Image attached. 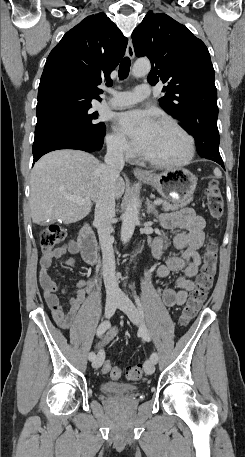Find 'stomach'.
Here are the masks:
<instances>
[{
    "label": "stomach",
    "instance_id": "obj_1",
    "mask_svg": "<svg viewBox=\"0 0 245 457\" xmlns=\"http://www.w3.org/2000/svg\"><path fill=\"white\" fill-rule=\"evenodd\" d=\"M152 180L140 178L145 184H152L159 194L170 200V202H181L192 198L196 188L197 180L195 174H192L188 168H166L163 172H151Z\"/></svg>",
    "mask_w": 245,
    "mask_h": 457
}]
</instances>
